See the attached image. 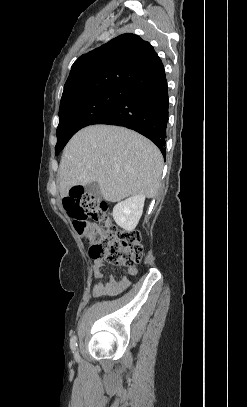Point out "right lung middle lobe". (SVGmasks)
I'll use <instances>...</instances> for the list:
<instances>
[{
  "instance_id": "1",
  "label": "right lung middle lobe",
  "mask_w": 247,
  "mask_h": 407,
  "mask_svg": "<svg viewBox=\"0 0 247 407\" xmlns=\"http://www.w3.org/2000/svg\"><path fill=\"white\" fill-rule=\"evenodd\" d=\"M133 90L134 88L125 86L110 87L61 106L59 108L60 121L56 131L55 155L65 147L77 131L92 125L130 95Z\"/></svg>"
}]
</instances>
